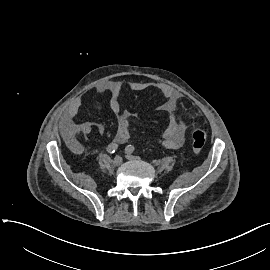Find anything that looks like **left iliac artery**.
Listing matches in <instances>:
<instances>
[{"label":"left iliac artery","instance_id":"obj_1","mask_svg":"<svg viewBox=\"0 0 270 270\" xmlns=\"http://www.w3.org/2000/svg\"><path fill=\"white\" fill-rule=\"evenodd\" d=\"M135 150V147L133 145H128L126 148H125V152L126 153H133Z\"/></svg>","mask_w":270,"mask_h":270}]
</instances>
